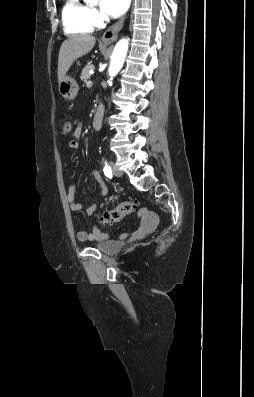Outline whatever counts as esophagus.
<instances>
[{"label":"esophagus","mask_w":254,"mask_h":397,"mask_svg":"<svg viewBox=\"0 0 254 397\" xmlns=\"http://www.w3.org/2000/svg\"><path fill=\"white\" fill-rule=\"evenodd\" d=\"M124 24V17L121 18L118 22L114 25L109 27L102 35L101 40L104 43H112L117 39L118 33L122 29Z\"/></svg>","instance_id":"1"}]
</instances>
